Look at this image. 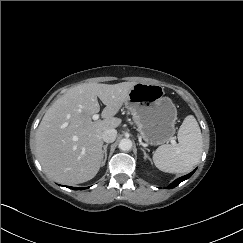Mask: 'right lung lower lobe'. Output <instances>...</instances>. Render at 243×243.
<instances>
[{"mask_svg": "<svg viewBox=\"0 0 243 243\" xmlns=\"http://www.w3.org/2000/svg\"><path fill=\"white\" fill-rule=\"evenodd\" d=\"M68 188L73 189V190H83V189H86V188H77V187H68Z\"/></svg>", "mask_w": 243, "mask_h": 243, "instance_id": "right-lung-lower-lobe-1", "label": "right lung lower lobe"}]
</instances>
